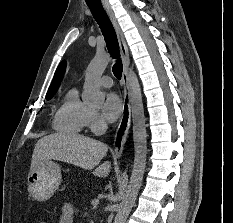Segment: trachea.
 Instances as JSON below:
<instances>
[{
    "mask_svg": "<svg viewBox=\"0 0 233 223\" xmlns=\"http://www.w3.org/2000/svg\"><path fill=\"white\" fill-rule=\"evenodd\" d=\"M88 7L101 28L102 35L104 36L106 42V47L111 57L116 58V63L113 65V73L115 77L120 80L122 75V62L120 59L119 43L113 25L105 13L100 1L97 3L88 4Z\"/></svg>",
    "mask_w": 233,
    "mask_h": 223,
    "instance_id": "trachea-1",
    "label": "trachea"
}]
</instances>
